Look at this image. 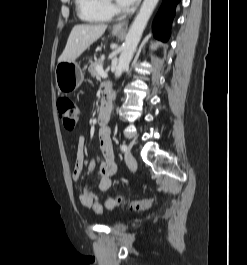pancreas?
I'll return each mask as SVG.
<instances>
[{
    "mask_svg": "<svg viewBox=\"0 0 247 265\" xmlns=\"http://www.w3.org/2000/svg\"><path fill=\"white\" fill-rule=\"evenodd\" d=\"M103 63L104 61L102 59H99L90 64L88 71L92 77L100 78V73L98 72L97 68L98 67L103 68Z\"/></svg>",
    "mask_w": 247,
    "mask_h": 265,
    "instance_id": "pancreas-1",
    "label": "pancreas"
}]
</instances>
